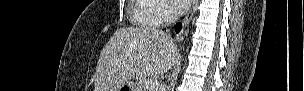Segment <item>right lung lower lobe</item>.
Wrapping results in <instances>:
<instances>
[{"label":"right lung lower lobe","instance_id":"1","mask_svg":"<svg viewBox=\"0 0 304 91\" xmlns=\"http://www.w3.org/2000/svg\"><path fill=\"white\" fill-rule=\"evenodd\" d=\"M182 28V24L181 23H178L176 24V32H179Z\"/></svg>","mask_w":304,"mask_h":91}]
</instances>
